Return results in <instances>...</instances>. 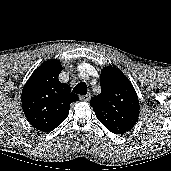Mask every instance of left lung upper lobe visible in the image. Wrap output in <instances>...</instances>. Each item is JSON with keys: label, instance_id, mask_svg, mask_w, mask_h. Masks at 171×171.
<instances>
[{"label": "left lung upper lobe", "instance_id": "left-lung-upper-lobe-1", "mask_svg": "<svg viewBox=\"0 0 171 171\" xmlns=\"http://www.w3.org/2000/svg\"><path fill=\"white\" fill-rule=\"evenodd\" d=\"M101 93L91 98L97 119L112 133L130 131L139 117L138 96L128 78L115 67H105L100 75Z\"/></svg>", "mask_w": 171, "mask_h": 171}]
</instances>
